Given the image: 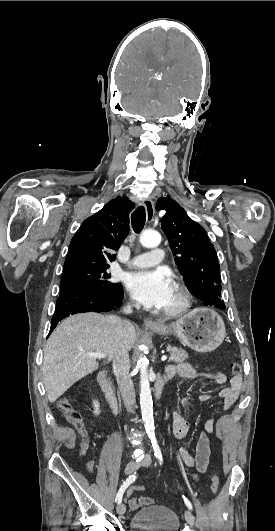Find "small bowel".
I'll return each mask as SVG.
<instances>
[{
    "label": "small bowel",
    "instance_id": "obj_1",
    "mask_svg": "<svg viewBox=\"0 0 275 531\" xmlns=\"http://www.w3.org/2000/svg\"><path fill=\"white\" fill-rule=\"evenodd\" d=\"M166 373L173 377L179 375L188 381H196L201 378H206L218 385H222L226 382V377L221 372L213 374H206L197 371L186 363L170 364L166 367ZM242 389V377L240 375H234L230 379L228 386L224 387L219 392V397L223 400V409L227 410L231 408L237 401ZM213 398V395L209 392H203L199 396L201 402H209ZM215 428V420L208 419L204 424V431L199 435L196 453L193 454L185 448H180L176 451L175 457L178 461L182 462L186 466L194 467L195 472H191L190 475L193 479H197L198 474H204L209 467V461L211 456L210 441L208 434L213 432ZM190 430L189 422L183 418V416L176 412L173 417V433L177 438H184L188 435ZM88 447H82V453L87 450ZM132 487H129L126 491L128 498V507L131 511H137L141 507L150 506L152 499L144 496L133 497Z\"/></svg>",
    "mask_w": 275,
    "mask_h": 531
}]
</instances>
